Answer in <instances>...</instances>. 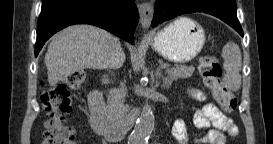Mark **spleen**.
<instances>
[{"label": "spleen", "mask_w": 273, "mask_h": 144, "mask_svg": "<svg viewBox=\"0 0 273 144\" xmlns=\"http://www.w3.org/2000/svg\"><path fill=\"white\" fill-rule=\"evenodd\" d=\"M222 58L224 59L225 75L223 82L225 86L232 90L237 91L241 86V65L242 57L239 46L233 41H229L222 49Z\"/></svg>", "instance_id": "3e777b00"}]
</instances>
